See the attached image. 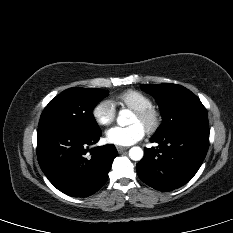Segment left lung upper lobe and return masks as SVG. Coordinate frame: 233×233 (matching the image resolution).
I'll return each mask as SVG.
<instances>
[{
    "label": "left lung upper lobe",
    "mask_w": 233,
    "mask_h": 233,
    "mask_svg": "<svg viewBox=\"0 0 233 233\" xmlns=\"http://www.w3.org/2000/svg\"><path fill=\"white\" fill-rule=\"evenodd\" d=\"M142 89L155 97L163 123L155 137L190 127H209L206 108L187 88L177 84H145Z\"/></svg>",
    "instance_id": "obj_1"
}]
</instances>
